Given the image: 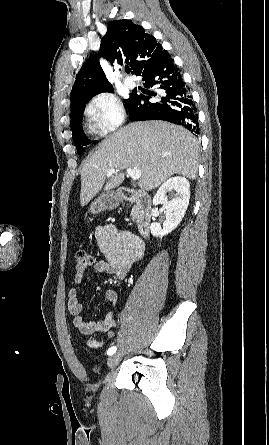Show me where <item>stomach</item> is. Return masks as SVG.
<instances>
[{"label": "stomach", "mask_w": 269, "mask_h": 445, "mask_svg": "<svg viewBox=\"0 0 269 445\" xmlns=\"http://www.w3.org/2000/svg\"><path fill=\"white\" fill-rule=\"evenodd\" d=\"M120 201L119 192L106 191L91 203L89 211L92 214H98L104 210L114 209L120 204Z\"/></svg>", "instance_id": "obj_1"}]
</instances>
